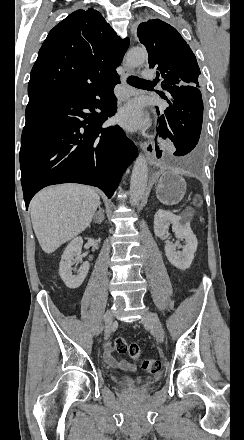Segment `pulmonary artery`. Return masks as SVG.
Masks as SVG:
<instances>
[{
    "mask_svg": "<svg viewBox=\"0 0 244 440\" xmlns=\"http://www.w3.org/2000/svg\"><path fill=\"white\" fill-rule=\"evenodd\" d=\"M139 74L143 78H150L152 76V71L150 69H143Z\"/></svg>",
    "mask_w": 244,
    "mask_h": 440,
    "instance_id": "obj_1",
    "label": "pulmonary artery"
}]
</instances>
